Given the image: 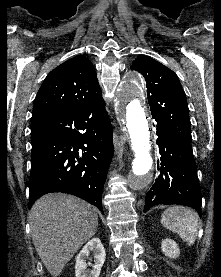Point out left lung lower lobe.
Masks as SVG:
<instances>
[{"mask_svg": "<svg viewBox=\"0 0 221 277\" xmlns=\"http://www.w3.org/2000/svg\"><path fill=\"white\" fill-rule=\"evenodd\" d=\"M154 126L161 155L160 174L146 194L144 212L155 204H181L196 209L201 216L202 196L191 144L157 121Z\"/></svg>", "mask_w": 221, "mask_h": 277, "instance_id": "1", "label": "left lung lower lobe"}]
</instances>
